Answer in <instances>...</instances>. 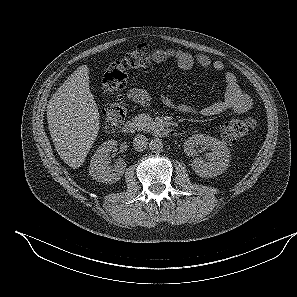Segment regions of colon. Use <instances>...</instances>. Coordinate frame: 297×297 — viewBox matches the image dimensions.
Listing matches in <instances>:
<instances>
[{
    "label": "colon",
    "mask_w": 297,
    "mask_h": 297,
    "mask_svg": "<svg viewBox=\"0 0 297 297\" xmlns=\"http://www.w3.org/2000/svg\"><path fill=\"white\" fill-rule=\"evenodd\" d=\"M151 65V51L148 47L137 48L126 53L119 60L110 64L103 74V89L111 94L121 92L128 80L130 70H146ZM126 105L120 97L109 103L103 111V123L107 131L119 127L126 118ZM254 122L250 118L234 119L221 127V136L227 143H235L243 139L253 128Z\"/></svg>",
    "instance_id": "obj_1"
}]
</instances>
